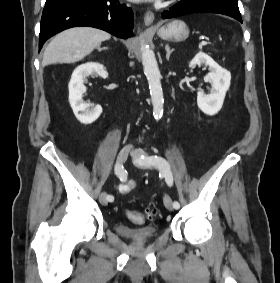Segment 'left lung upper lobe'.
<instances>
[{
	"label": "left lung upper lobe",
	"instance_id": "left-lung-upper-lobe-1",
	"mask_svg": "<svg viewBox=\"0 0 280 283\" xmlns=\"http://www.w3.org/2000/svg\"><path fill=\"white\" fill-rule=\"evenodd\" d=\"M205 1L217 3L220 5L226 6L236 12H239L237 0H205Z\"/></svg>",
	"mask_w": 280,
	"mask_h": 283
}]
</instances>
